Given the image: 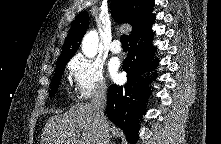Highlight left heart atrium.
Segmentation results:
<instances>
[{
  "instance_id": "39dd6f15",
  "label": "left heart atrium",
  "mask_w": 221,
  "mask_h": 144,
  "mask_svg": "<svg viewBox=\"0 0 221 144\" xmlns=\"http://www.w3.org/2000/svg\"><path fill=\"white\" fill-rule=\"evenodd\" d=\"M110 72L115 79L118 78L117 66L115 64L111 66Z\"/></svg>"
}]
</instances>
